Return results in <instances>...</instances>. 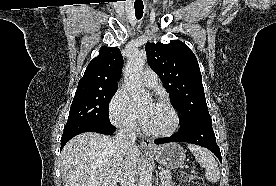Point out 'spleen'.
<instances>
[{"label": "spleen", "instance_id": "1", "mask_svg": "<svg viewBox=\"0 0 276 186\" xmlns=\"http://www.w3.org/2000/svg\"><path fill=\"white\" fill-rule=\"evenodd\" d=\"M188 148L193 153L200 166L205 168L206 179L212 183L218 182L220 179V170L211 152L197 145L190 144Z\"/></svg>", "mask_w": 276, "mask_h": 186}]
</instances>
